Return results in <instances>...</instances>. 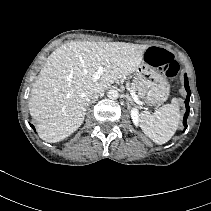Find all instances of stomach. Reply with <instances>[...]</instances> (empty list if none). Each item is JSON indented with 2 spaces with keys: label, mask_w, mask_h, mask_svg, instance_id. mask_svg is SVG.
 I'll list each match as a JSON object with an SVG mask.
<instances>
[{
  "label": "stomach",
  "mask_w": 211,
  "mask_h": 211,
  "mask_svg": "<svg viewBox=\"0 0 211 211\" xmlns=\"http://www.w3.org/2000/svg\"><path fill=\"white\" fill-rule=\"evenodd\" d=\"M136 77L146 88L144 98L147 104L155 105L167 100L170 85L156 69L143 62L136 70Z\"/></svg>",
  "instance_id": "0dacf381"
}]
</instances>
